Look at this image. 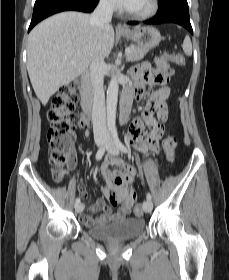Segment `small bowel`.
I'll return each instance as SVG.
<instances>
[{"mask_svg":"<svg viewBox=\"0 0 229 280\" xmlns=\"http://www.w3.org/2000/svg\"><path fill=\"white\" fill-rule=\"evenodd\" d=\"M153 73L147 63L137 65L134 72V81L132 86L125 89L124 92L130 93L137 100H141L146 87L156 85ZM170 96V89L167 86H162L150 92L149 97L143 108V118H137L132 123L129 129L130 143L141 153L146 154L149 151H156L158 140L161 136V121L167 117L166 101ZM156 114V118L153 115ZM144 122L152 125L150 130L145 128ZM86 135H88L86 133ZM75 164V156L72 154L69 166ZM118 166L121 168L118 172H113L112 167ZM100 174L105 181V186L101 188L103 195L109 198L112 193L117 195L116 203L111 205L100 200L89 206V212H102L100 217H93L90 214L81 216V221L84 225H95L97 223H108L112 220L123 218L129 215L133 202L134 190L129 187L134 181L137 174L135 167L126 165L124 161L117 156L108 155L100 166ZM120 176L124 180L122 183H116L115 177ZM78 193L83 198L88 197L86 185L81 183L78 187ZM119 206L117 211H114L112 206Z\"/></svg>","mask_w":229,"mask_h":280,"instance_id":"1","label":"small bowel"}]
</instances>
